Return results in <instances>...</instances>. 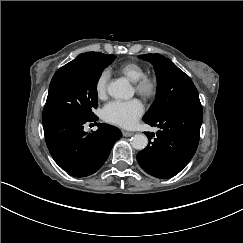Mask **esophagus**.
Here are the masks:
<instances>
[{
    "label": "esophagus",
    "instance_id": "1",
    "mask_svg": "<svg viewBox=\"0 0 243 243\" xmlns=\"http://www.w3.org/2000/svg\"><path fill=\"white\" fill-rule=\"evenodd\" d=\"M122 134L124 137H130L132 136L134 133L133 132H128V131H122Z\"/></svg>",
    "mask_w": 243,
    "mask_h": 243
}]
</instances>
